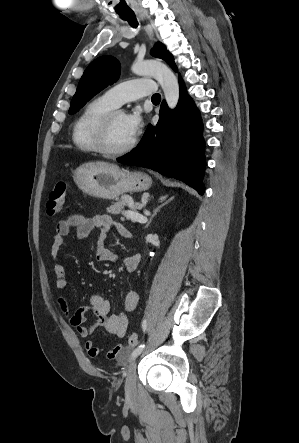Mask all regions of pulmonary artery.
<instances>
[{
	"label": "pulmonary artery",
	"mask_w": 299,
	"mask_h": 443,
	"mask_svg": "<svg viewBox=\"0 0 299 443\" xmlns=\"http://www.w3.org/2000/svg\"><path fill=\"white\" fill-rule=\"evenodd\" d=\"M156 87L151 79H133L119 83L104 93V97L118 107L125 102L133 101L141 97L155 93Z\"/></svg>",
	"instance_id": "e3ab8cb5"
}]
</instances>
